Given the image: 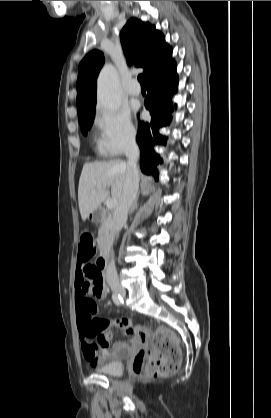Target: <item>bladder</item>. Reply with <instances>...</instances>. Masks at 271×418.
<instances>
[{"label": "bladder", "instance_id": "obj_1", "mask_svg": "<svg viewBox=\"0 0 271 418\" xmlns=\"http://www.w3.org/2000/svg\"><path fill=\"white\" fill-rule=\"evenodd\" d=\"M96 371L100 374L111 376V377H118L122 375L124 371V365L121 360H112L105 363L102 366H99Z\"/></svg>", "mask_w": 271, "mask_h": 418}]
</instances>
